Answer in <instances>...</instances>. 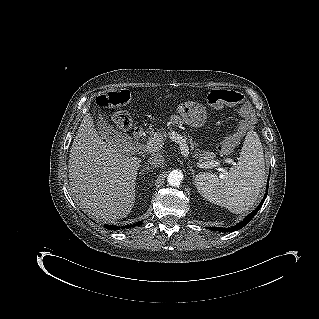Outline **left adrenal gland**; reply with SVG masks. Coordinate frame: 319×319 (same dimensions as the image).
<instances>
[{"mask_svg": "<svg viewBox=\"0 0 319 319\" xmlns=\"http://www.w3.org/2000/svg\"><path fill=\"white\" fill-rule=\"evenodd\" d=\"M189 170L191 171V173H192V175L194 177V170H193L192 166H189Z\"/></svg>", "mask_w": 319, "mask_h": 319, "instance_id": "1", "label": "left adrenal gland"}]
</instances>
